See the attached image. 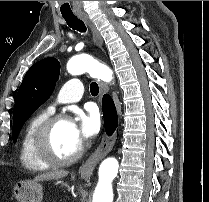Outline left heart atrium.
<instances>
[{
  "instance_id": "obj_1",
  "label": "left heart atrium",
  "mask_w": 209,
  "mask_h": 202,
  "mask_svg": "<svg viewBox=\"0 0 209 202\" xmlns=\"http://www.w3.org/2000/svg\"><path fill=\"white\" fill-rule=\"evenodd\" d=\"M71 125L76 141L82 145L83 142L93 137L98 130L97 114L95 112H90L88 115L79 113Z\"/></svg>"
}]
</instances>
